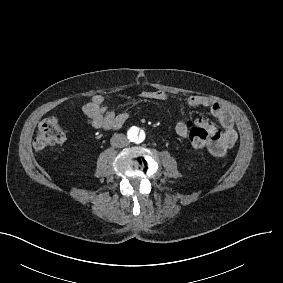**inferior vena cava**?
I'll return each instance as SVG.
<instances>
[{
  "label": "inferior vena cava",
  "instance_id": "602c4592",
  "mask_svg": "<svg viewBox=\"0 0 283 283\" xmlns=\"http://www.w3.org/2000/svg\"><path fill=\"white\" fill-rule=\"evenodd\" d=\"M111 145L115 148H124L128 144L127 136L124 134H114L110 140Z\"/></svg>",
  "mask_w": 283,
  "mask_h": 283
}]
</instances>
